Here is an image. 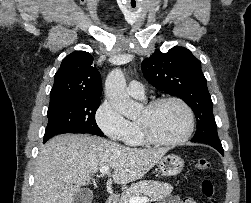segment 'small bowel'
Returning a JSON list of instances; mask_svg holds the SVG:
<instances>
[{"label":"small bowel","instance_id":"obj_1","mask_svg":"<svg viewBox=\"0 0 251 203\" xmlns=\"http://www.w3.org/2000/svg\"><path fill=\"white\" fill-rule=\"evenodd\" d=\"M159 203H196V201L189 197L180 198L178 196H167Z\"/></svg>","mask_w":251,"mask_h":203}]
</instances>
